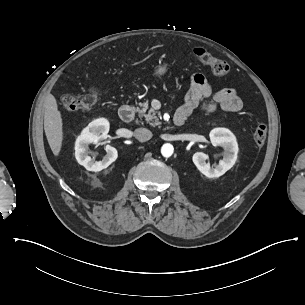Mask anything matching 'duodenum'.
<instances>
[{
  "label": "duodenum",
  "mask_w": 305,
  "mask_h": 305,
  "mask_svg": "<svg viewBox=\"0 0 305 305\" xmlns=\"http://www.w3.org/2000/svg\"><path fill=\"white\" fill-rule=\"evenodd\" d=\"M119 116L122 121L130 122L135 117V108L130 103H125L121 106L119 110ZM185 116L183 114L177 113L173 118V123L175 126H182L185 122Z\"/></svg>",
  "instance_id": "410a0bca"
}]
</instances>
